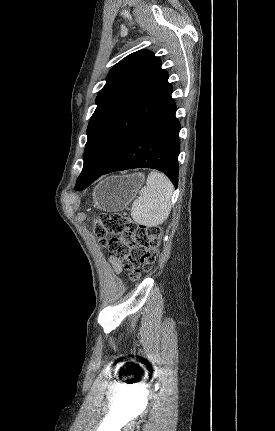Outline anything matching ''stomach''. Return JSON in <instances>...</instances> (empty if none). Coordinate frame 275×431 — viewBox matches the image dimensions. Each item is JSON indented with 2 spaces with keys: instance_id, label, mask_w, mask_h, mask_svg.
Instances as JSON below:
<instances>
[{
  "instance_id": "obj_1",
  "label": "stomach",
  "mask_w": 275,
  "mask_h": 431,
  "mask_svg": "<svg viewBox=\"0 0 275 431\" xmlns=\"http://www.w3.org/2000/svg\"><path fill=\"white\" fill-rule=\"evenodd\" d=\"M144 181L142 173L106 178L93 193L94 205L103 211L123 210L136 196Z\"/></svg>"
}]
</instances>
